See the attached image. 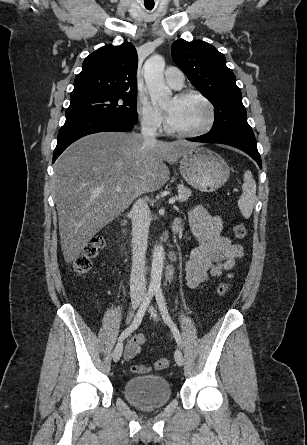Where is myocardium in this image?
<instances>
[{"label":"myocardium","mask_w":307,"mask_h":445,"mask_svg":"<svg viewBox=\"0 0 307 445\" xmlns=\"http://www.w3.org/2000/svg\"><path fill=\"white\" fill-rule=\"evenodd\" d=\"M177 98L180 99H197L199 101H201L208 109L209 111V119L208 122L206 123L205 126H203L202 128L196 130V131H192V132H185V131H180L177 130L175 128H173L169 122V119H166V130L174 135L177 136H181V137H185V138H190V139H199L200 137L208 134L209 132H211L216 124H217V120H218V112L216 109V106L214 105V103L208 99L205 95H203L200 92L197 91H185L182 92L180 94H178Z\"/></svg>","instance_id":"obj_1"}]
</instances>
